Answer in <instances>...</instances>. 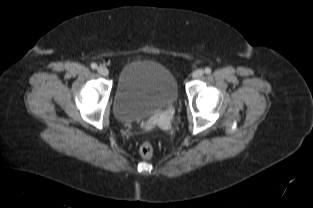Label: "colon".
Returning a JSON list of instances; mask_svg holds the SVG:
<instances>
[{
    "label": "colon",
    "instance_id": "obj_1",
    "mask_svg": "<svg viewBox=\"0 0 313 208\" xmlns=\"http://www.w3.org/2000/svg\"><path fill=\"white\" fill-rule=\"evenodd\" d=\"M139 153L143 158L149 159L153 156L154 148L151 143L144 142L139 148Z\"/></svg>",
    "mask_w": 313,
    "mask_h": 208
}]
</instances>
